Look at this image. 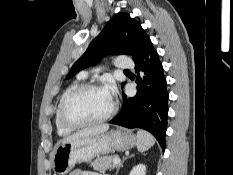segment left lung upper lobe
Wrapping results in <instances>:
<instances>
[{
  "label": "left lung upper lobe",
  "mask_w": 233,
  "mask_h": 175,
  "mask_svg": "<svg viewBox=\"0 0 233 175\" xmlns=\"http://www.w3.org/2000/svg\"><path fill=\"white\" fill-rule=\"evenodd\" d=\"M151 44L138 21L127 13H118L107 22L85 53L74 63L66 79L84 68L97 64L108 54H131L135 61Z\"/></svg>",
  "instance_id": "left-lung-upper-lobe-1"
}]
</instances>
